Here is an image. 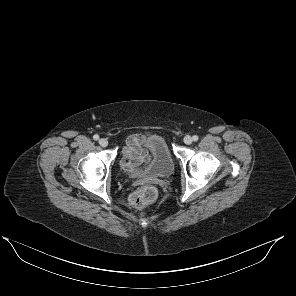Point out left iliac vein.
<instances>
[{
  "mask_svg": "<svg viewBox=\"0 0 296 296\" xmlns=\"http://www.w3.org/2000/svg\"><path fill=\"white\" fill-rule=\"evenodd\" d=\"M193 139L191 136L187 135L184 137V143L187 145H190L192 143Z\"/></svg>",
  "mask_w": 296,
  "mask_h": 296,
  "instance_id": "obj_1",
  "label": "left iliac vein"
}]
</instances>
